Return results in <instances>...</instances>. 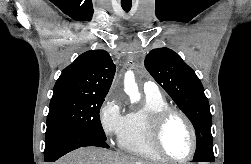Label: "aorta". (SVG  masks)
<instances>
[{
    "label": "aorta",
    "mask_w": 251,
    "mask_h": 164,
    "mask_svg": "<svg viewBox=\"0 0 251 164\" xmlns=\"http://www.w3.org/2000/svg\"><path fill=\"white\" fill-rule=\"evenodd\" d=\"M124 90L129 95L131 101L135 102L140 99V93L138 91V86L135 82V77L132 71H128L125 74Z\"/></svg>",
    "instance_id": "obj_1"
}]
</instances>
